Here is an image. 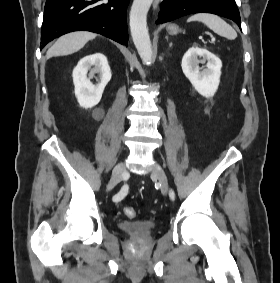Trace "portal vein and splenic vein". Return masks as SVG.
Returning <instances> with one entry per match:
<instances>
[{
    "instance_id": "obj_1",
    "label": "portal vein and splenic vein",
    "mask_w": 280,
    "mask_h": 283,
    "mask_svg": "<svg viewBox=\"0 0 280 283\" xmlns=\"http://www.w3.org/2000/svg\"><path fill=\"white\" fill-rule=\"evenodd\" d=\"M211 39H212V41H215V38H214V37H212Z\"/></svg>"
}]
</instances>
